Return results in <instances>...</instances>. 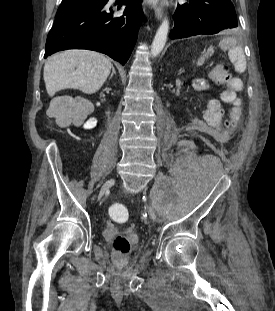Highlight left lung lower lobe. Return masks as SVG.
<instances>
[{
  "label": "left lung lower lobe",
  "mask_w": 275,
  "mask_h": 311,
  "mask_svg": "<svg viewBox=\"0 0 275 311\" xmlns=\"http://www.w3.org/2000/svg\"><path fill=\"white\" fill-rule=\"evenodd\" d=\"M171 39L215 34L238 26L231 0H187L178 3Z\"/></svg>",
  "instance_id": "0a47b994"
}]
</instances>
